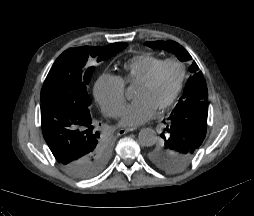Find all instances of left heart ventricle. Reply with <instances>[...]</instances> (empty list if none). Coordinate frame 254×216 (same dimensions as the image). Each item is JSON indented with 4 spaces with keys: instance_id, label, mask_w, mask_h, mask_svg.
I'll return each instance as SVG.
<instances>
[{
    "instance_id": "1",
    "label": "left heart ventricle",
    "mask_w": 254,
    "mask_h": 216,
    "mask_svg": "<svg viewBox=\"0 0 254 216\" xmlns=\"http://www.w3.org/2000/svg\"><path fill=\"white\" fill-rule=\"evenodd\" d=\"M179 77V69L175 65L165 66L155 82L149 87L137 86L134 98L150 102L156 109L172 95Z\"/></svg>"
}]
</instances>
